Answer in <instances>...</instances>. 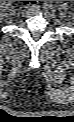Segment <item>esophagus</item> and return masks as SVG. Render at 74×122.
I'll return each mask as SVG.
<instances>
[{"instance_id":"1","label":"esophagus","mask_w":74,"mask_h":122,"mask_svg":"<svg viewBox=\"0 0 74 122\" xmlns=\"http://www.w3.org/2000/svg\"><path fill=\"white\" fill-rule=\"evenodd\" d=\"M26 9H27V11H28L29 13H32V14L37 13L38 10H39L38 6L33 5V4H29V5L26 7Z\"/></svg>"}]
</instances>
